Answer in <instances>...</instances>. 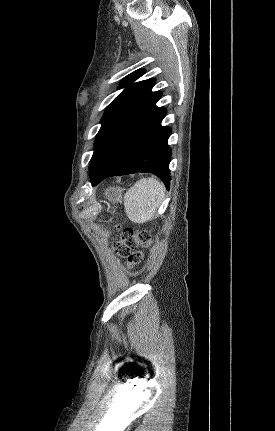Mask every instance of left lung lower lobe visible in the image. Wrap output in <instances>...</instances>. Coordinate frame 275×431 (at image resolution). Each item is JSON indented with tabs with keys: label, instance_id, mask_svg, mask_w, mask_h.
I'll return each mask as SVG.
<instances>
[{
	"label": "left lung lower lobe",
	"instance_id": "left-lung-lower-lobe-1",
	"mask_svg": "<svg viewBox=\"0 0 275 431\" xmlns=\"http://www.w3.org/2000/svg\"><path fill=\"white\" fill-rule=\"evenodd\" d=\"M166 113V108H162L122 149L105 171L91 177L92 186H96L110 176L149 172L158 176L169 189L171 181L169 163L172 153L167 141L171 134V128L161 126Z\"/></svg>",
	"mask_w": 275,
	"mask_h": 431
}]
</instances>
